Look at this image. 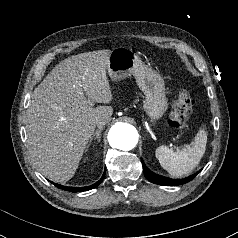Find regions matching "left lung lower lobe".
<instances>
[{"instance_id":"1","label":"left lung lower lobe","mask_w":238,"mask_h":238,"mask_svg":"<svg viewBox=\"0 0 238 238\" xmlns=\"http://www.w3.org/2000/svg\"><path fill=\"white\" fill-rule=\"evenodd\" d=\"M142 166H143L144 175L150 182L158 184V185H165V186H177V185L185 184V183L191 181L193 178H195V176L199 173L198 172V173L194 174L193 176L188 177L183 180H171V179H166L159 175L153 174L145 167L143 162H142Z\"/></svg>"}]
</instances>
